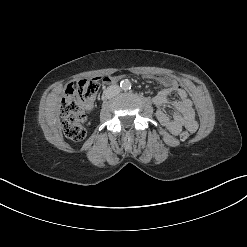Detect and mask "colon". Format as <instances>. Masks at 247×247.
Wrapping results in <instances>:
<instances>
[{"label": "colon", "instance_id": "colon-1", "mask_svg": "<svg viewBox=\"0 0 247 247\" xmlns=\"http://www.w3.org/2000/svg\"><path fill=\"white\" fill-rule=\"evenodd\" d=\"M100 88L98 78H88L69 84L65 95L60 102V114L63 119V128L66 136L72 141H81L86 136L83 123L86 120L84 106L93 100ZM190 136L188 130L180 134L181 140H187Z\"/></svg>", "mask_w": 247, "mask_h": 247}]
</instances>
